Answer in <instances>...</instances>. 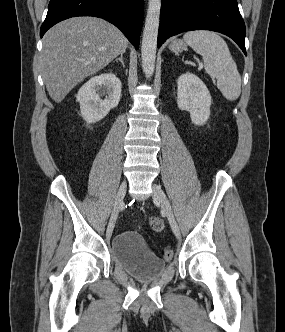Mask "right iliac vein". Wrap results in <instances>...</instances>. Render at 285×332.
<instances>
[{"label":"right iliac vein","mask_w":285,"mask_h":332,"mask_svg":"<svg viewBox=\"0 0 285 332\" xmlns=\"http://www.w3.org/2000/svg\"><path fill=\"white\" fill-rule=\"evenodd\" d=\"M126 188H127V183L126 181H123L118 189V192L116 194L115 197V202H114V206H113V210H112V214H111V218L107 227V231H106V236L109 238L113 232V228H114V223L115 220L118 216V212L123 204V199L125 197L126 194Z\"/></svg>","instance_id":"1"}]
</instances>
